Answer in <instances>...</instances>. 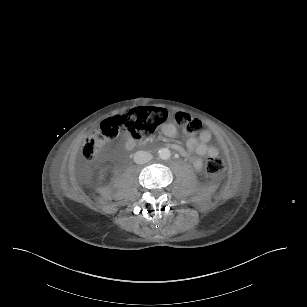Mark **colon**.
<instances>
[{
  "label": "colon",
  "mask_w": 307,
  "mask_h": 307,
  "mask_svg": "<svg viewBox=\"0 0 307 307\" xmlns=\"http://www.w3.org/2000/svg\"><path fill=\"white\" fill-rule=\"evenodd\" d=\"M168 117L169 113L163 108L139 107L105 120L92 135L85 139L81 155L84 160H92L99 153L103 143L116 138L119 133L128 134L134 139L149 136ZM174 117L189 135L200 133L202 123L199 119L181 111L175 113ZM223 169L224 162L220 156L212 155L206 162L208 175L217 176Z\"/></svg>",
  "instance_id": "1"
}]
</instances>
